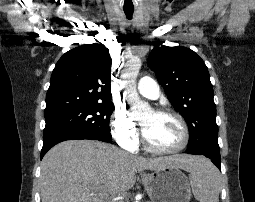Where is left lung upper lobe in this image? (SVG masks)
Here are the masks:
<instances>
[{
  "label": "left lung upper lobe",
  "instance_id": "1",
  "mask_svg": "<svg viewBox=\"0 0 255 202\" xmlns=\"http://www.w3.org/2000/svg\"><path fill=\"white\" fill-rule=\"evenodd\" d=\"M148 65L189 126L187 151L220 153L213 87L203 60L186 47L157 45L148 57Z\"/></svg>",
  "mask_w": 255,
  "mask_h": 202
}]
</instances>
